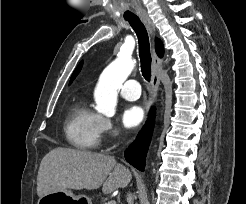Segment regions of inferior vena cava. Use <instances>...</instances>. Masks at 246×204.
<instances>
[{
    "label": "inferior vena cava",
    "mask_w": 246,
    "mask_h": 204,
    "mask_svg": "<svg viewBox=\"0 0 246 204\" xmlns=\"http://www.w3.org/2000/svg\"><path fill=\"white\" fill-rule=\"evenodd\" d=\"M127 202L128 204H133V196L131 193H128L127 195Z\"/></svg>",
    "instance_id": "602c4592"
}]
</instances>
